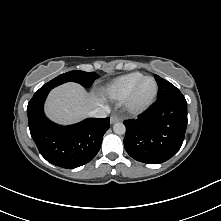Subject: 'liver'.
Returning <instances> with one entry per match:
<instances>
[{
  "mask_svg": "<svg viewBox=\"0 0 221 221\" xmlns=\"http://www.w3.org/2000/svg\"><path fill=\"white\" fill-rule=\"evenodd\" d=\"M104 98L95 93H87L76 83H66L53 89L46 101V115L56 123L78 122L101 105Z\"/></svg>",
  "mask_w": 221,
  "mask_h": 221,
  "instance_id": "liver-1",
  "label": "liver"
}]
</instances>
